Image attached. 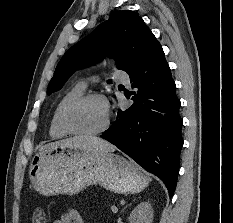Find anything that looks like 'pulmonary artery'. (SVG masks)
Returning <instances> with one entry per match:
<instances>
[{"instance_id": "pulmonary-artery-1", "label": "pulmonary artery", "mask_w": 233, "mask_h": 223, "mask_svg": "<svg viewBox=\"0 0 233 223\" xmlns=\"http://www.w3.org/2000/svg\"><path fill=\"white\" fill-rule=\"evenodd\" d=\"M110 75H114V79H121L122 83L130 85V74H126V70H110ZM84 87L87 86L86 82H81Z\"/></svg>"}]
</instances>
